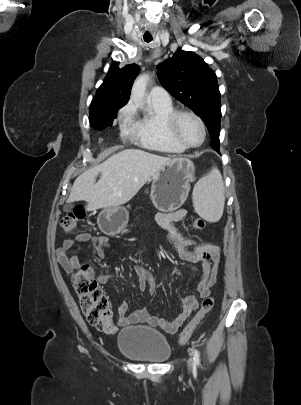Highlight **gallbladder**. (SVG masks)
I'll use <instances>...</instances> for the list:
<instances>
[{"instance_id":"obj_1","label":"gallbladder","mask_w":301,"mask_h":405,"mask_svg":"<svg viewBox=\"0 0 301 405\" xmlns=\"http://www.w3.org/2000/svg\"><path fill=\"white\" fill-rule=\"evenodd\" d=\"M73 208L72 203H67L66 205H64L63 207V211L68 212Z\"/></svg>"}]
</instances>
